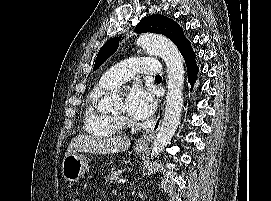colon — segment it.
<instances>
[{
	"instance_id": "5ec220e1",
	"label": "colon",
	"mask_w": 271,
	"mask_h": 201,
	"mask_svg": "<svg viewBox=\"0 0 271 201\" xmlns=\"http://www.w3.org/2000/svg\"><path fill=\"white\" fill-rule=\"evenodd\" d=\"M73 201H81V199L79 197H75Z\"/></svg>"
}]
</instances>
